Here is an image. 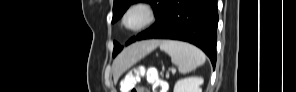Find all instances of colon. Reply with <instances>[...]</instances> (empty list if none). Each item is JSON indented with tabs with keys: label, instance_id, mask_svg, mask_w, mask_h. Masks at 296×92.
<instances>
[{
	"label": "colon",
	"instance_id": "5ec220e1",
	"mask_svg": "<svg viewBox=\"0 0 296 92\" xmlns=\"http://www.w3.org/2000/svg\"><path fill=\"white\" fill-rule=\"evenodd\" d=\"M146 77L148 82L153 85L154 92H163L164 83L159 78L155 69L133 68L121 80V89L124 92H149L144 87L137 86V80Z\"/></svg>",
	"mask_w": 296,
	"mask_h": 92
}]
</instances>
